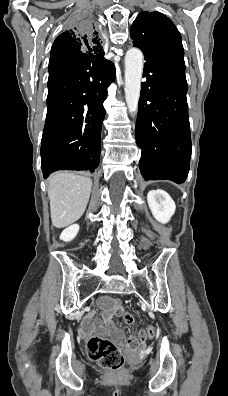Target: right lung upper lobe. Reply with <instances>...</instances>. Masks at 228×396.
Segmentation results:
<instances>
[{"mask_svg":"<svg viewBox=\"0 0 228 396\" xmlns=\"http://www.w3.org/2000/svg\"><path fill=\"white\" fill-rule=\"evenodd\" d=\"M77 55L104 58V51L95 28L78 26L59 35L51 48L50 60Z\"/></svg>","mask_w":228,"mask_h":396,"instance_id":"right-lung-upper-lobe-1","label":"right lung upper lobe"}]
</instances>
